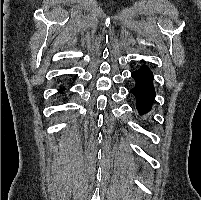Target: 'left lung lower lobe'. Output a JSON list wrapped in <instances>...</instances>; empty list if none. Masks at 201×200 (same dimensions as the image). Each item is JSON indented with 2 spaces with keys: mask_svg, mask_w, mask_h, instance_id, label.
<instances>
[{
  "mask_svg": "<svg viewBox=\"0 0 201 200\" xmlns=\"http://www.w3.org/2000/svg\"><path fill=\"white\" fill-rule=\"evenodd\" d=\"M131 75L136 81L131 93L136 97V108L139 114L144 115L151 110L155 99L153 73L147 66H143Z\"/></svg>",
  "mask_w": 201,
  "mask_h": 200,
  "instance_id": "left-lung-lower-lobe-1",
  "label": "left lung lower lobe"
}]
</instances>
